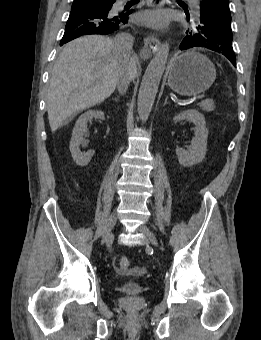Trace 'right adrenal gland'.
Here are the masks:
<instances>
[{
  "label": "right adrenal gland",
  "mask_w": 261,
  "mask_h": 340,
  "mask_svg": "<svg viewBox=\"0 0 261 340\" xmlns=\"http://www.w3.org/2000/svg\"><path fill=\"white\" fill-rule=\"evenodd\" d=\"M115 101H118V98H115Z\"/></svg>",
  "instance_id": "1"
}]
</instances>
